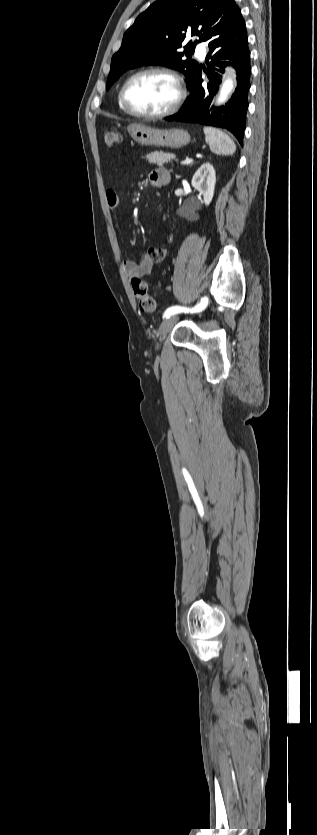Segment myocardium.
Segmentation results:
<instances>
[{
    "label": "myocardium",
    "instance_id": "obj_1",
    "mask_svg": "<svg viewBox=\"0 0 317 835\" xmlns=\"http://www.w3.org/2000/svg\"><path fill=\"white\" fill-rule=\"evenodd\" d=\"M147 74L165 75V76H167V77H169L170 79L173 80V82L175 83L176 88H177V96H176V99L174 100V102L167 109H165L161 112H158V113L150 114V113L140 112V111L136 110L135 108H133V106L130 104V102L127 98V91H128V87L130 86V84L135 79H137L141 76L147 75ZM185 97H186V90L184 88V84H183V81H182L181 77L175 71H173L171 69H168V68H164V67H148V68L142 69L140 71H137L136 73L132 74L124 82V84L122 85L121 90H120V100H121L122 105L126 109V111L133 116L143 118V119H160V118L168 117V116L174 114L181 107Z\"/></svg>",
    "mask_w": 317,
    "mask_h": 835
}]
</instances>
